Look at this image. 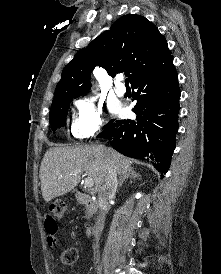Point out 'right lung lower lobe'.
I'll return each mask as SVG.
<instances>
[{
  "label": "right lung lower lobe",
  "instance_id": "right-lung-lower-lobe-1",
  "mask_svg": "<svg viewBox=\"0 0 221 274\" xmlns=\"http://www.w3.org/2000/svg\"><path fill=\"white\" fill-rule=\"evenodd\" d=\"M131 86L137 90L133 94L137 103L132 109L136 120H112L98 137L111 140L112 147L125 156L150 161L163 177L176 146L180 109L173 57Z\"/></svg>",
  "mask_w": 221,
  "mask_h": 274
}]
</instances>
